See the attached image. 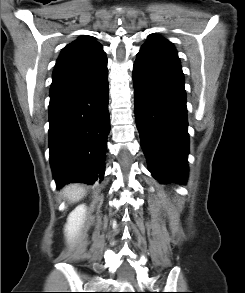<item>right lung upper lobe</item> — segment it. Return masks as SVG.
Wrapping results in <instances>:
<instances>
[{
    "mask_svg": "<svg viewBox=\"0 0 245 293\" xmlns=\"http://www.w3.org/2000/svg\"><path fill=\"white\" fill-rule=\"evenodd\" d=\"M107 69L102 46L89 36L79 37L63 48L57 59L50 97L63 93Z\"/></svg>",
    "mask_w": 245,
    "mask_h": 293,
    "instance_id": "obj_1",
    "label": "right lung upper lobe"
}]
</instances>
